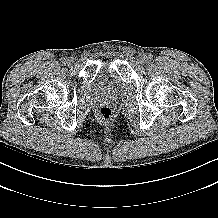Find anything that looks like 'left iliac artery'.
<instances>
[{"label": "left iliac artery", "instance_id": "left-iliac-artery-1", "mask_svg": "<svg viewBox=\"0 0 218 218\" xmlns=\"http://www.w3.org/2000/svg\"><path fill=\"white\" fill-rule=\"evenodd\" d=\"M152 58H153V55H152V54H148V55H147V59H148V60H152Z\"/></svg>", "mask_w": 218, "mask_h": 218}]
</instances>
